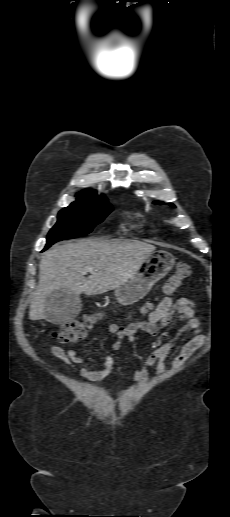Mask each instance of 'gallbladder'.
I'll use <instances>...</instances> for the list:
<instances>
[{
    "mask_svg": "<svg viewBox=\"0 0 230 517\" xmlns=\"http://www.w3.org/2000/svg\"><path fill=\"white\" fill-rule=\"evenodd\" d=\"M81 307L79 296L68 289L54 291L44 304L46 319L53 324L74 319L81 311Z\"/></svg>",
    "mask_w": 230,
    "mask_h": 517,
    "instance_id": "bac80fb5",
    "label": "gallbladder"
}]
</instances>
